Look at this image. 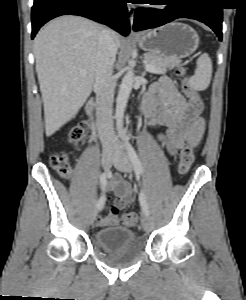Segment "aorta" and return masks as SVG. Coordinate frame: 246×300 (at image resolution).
<instances>
[{
	"label": "aorta",
	"instance_id": "1",
	"mask_svg": "<svg viewBox=\"0 0 246 300\" xmlns=\"http://www.w3.org/2000/svg\"><path fill=\"white\" fill-rule=\"evenodd\" d=\"M134 82V70L132 66V61L126 67V74L124 75L122 82L119 87L117 99H116V110H115V120L117 125L118 134L123 136V118L126 109L128 99L130 97L132 87Z\"/></svg>",
	"mask_w": 246,
	"mask_h": 300
}]
</instances>
